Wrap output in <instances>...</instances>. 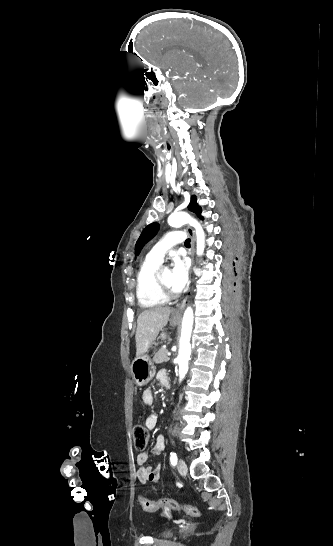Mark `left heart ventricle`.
I'll return each mask as SVG.
<instances>
[{"mask_svg": "<svg viewBox=\"0 0 333 546\" xmlns=\"http://www.w3.org/2000/svg\"><path fill=\"white\" fill-rule=\"evenodd\" d=\"M162 281L169 289L174 290L173 287H172V278H171L170 271H168V270L163 271Z\"/></svg>", "mask_w": 333, "mask_h": 546, "instance_id": "obj_1", "label": "left heart ventricle"}]
</instances>
